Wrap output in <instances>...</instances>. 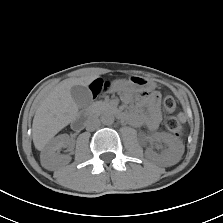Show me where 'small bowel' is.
<instances>
[{"label":"small bowel","instance_id":"obj_1","mask_svg":"<svg viewBox=\"0 0 223 223\" xmlns=\"http://www.w3.org/2000/svg\"><path fill=\"white\" fill-rule=\"evenodd\" d=\"M102 85L98 84L95 87V92L98 94L101 91ZM124 102H128L126 96L123 97ZM139 107L145 108L147 113L128 116L127 120L135 125H145L150 129H156L161 121V95L158 92H151L141 97Z\"/></svg>","mask_w":223,"mask_h":223}]
</instances>
